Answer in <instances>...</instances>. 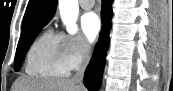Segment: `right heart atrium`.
<instances>
[{"instance_id": "1", "label": "right heart atrium", "mask_w": 173, "mask_h": 91, "mask_svg": "<svg viewBox=\"0 0 173 91\" xmlns=\"http://www.w3.org/2000/svg\"><path fill=\"white\" fill-rule=\"evenodd\" d=\"M62 53L70 70H75L86 61L90 47L81 35H62Z\"/></svg>"}]
</instances>
